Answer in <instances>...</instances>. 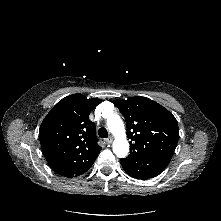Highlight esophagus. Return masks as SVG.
Instances as JSON below:
<instances>
[{
  "label": "esophagus",
  "mask_w": 221,
  "mask_h": 221,
  "mask_svg": "<svg viewBox=\"0 0 221 221\" xmlns=\"http://www.w3.org/2000/svg\"><path fill=\"white\" fill-rule=\"evenodd\" d=\"M106 144L110 145L113 142V138L109 137L105 140Z\"/></svg>",
  "instance_id": "34e87169"
}]
</instances>
